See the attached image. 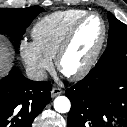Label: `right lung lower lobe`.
<instances>
[{"mask_svg": "<svg viewBox=\"0 0 127 127\" xmlns=\"http://www.w3.org/2000/svg\"><path fill=\"white\" fill-rule=\"evenodd\" d=\"M51 84L31 81L13 67L0 80V127H31L50 101Z\"/></svg>", "mask_w": 127, "mask_h": 127, "instance_id": "98d812e1", "label": "right lung lower lobe"}]
</instances>
